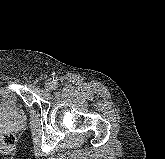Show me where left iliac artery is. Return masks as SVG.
I'll return each instance as SVG.
<instances>
[{
  "instance_id": "44dca946",
  "label": "left iliac artery",
  "mask_w": 165,
  "mask_h": 159,
  "mask_svg": "<svg viewBox=\"0 0 165 159\" xmlns=\"http://www.w3.org/2000/svg\"><path fill=\"white\" fill-rule=\"evenodd\" d=\"M58 84L56 82H54V88H57Z\"/></svg>"
}]
</instances>
